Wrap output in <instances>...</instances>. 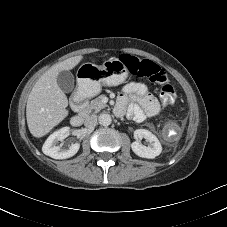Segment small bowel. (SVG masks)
<instances>
[{
    "mask_svg": "<svg viewBox=\"0 0 227 227\" xmlns=\"http://www.w3.org/2000/svg\"><path fill=\"white\" fill-rule=\"evenodd\" d=\"M161 110L160 103L149 92L145 84L132 82L123 87L115 111L118 115L126 112L128 117L136 121H143L147 117L158 115Z\"/></svg>",
    "mask_w": 227,
    "mask_h": 227,
    "instance_id": "c3829d8e",
    "label": "small bowel"
}]
</instances>
